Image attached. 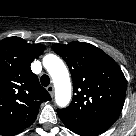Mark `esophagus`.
<instances>
[{
    "mask_svg": "<svg viewBox=\"0 0 136 136\" xmlns=\"http://www.w3.org/2000/svg\"><path fill=\"white\" fill-rule=\"evenodd\" d=\"M47 91L49 92V94L53 97L54 95V86L53 85H49L47 87Z\"/></svg>",
    "mask_w": 136,
    "mask_h": 136,
    "instance_id": "obj_1",
    "label": "esophagus"
}]
</instances>
